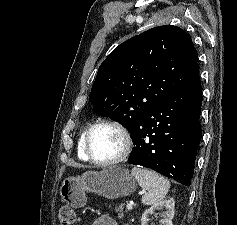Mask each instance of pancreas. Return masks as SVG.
Segmentation results:
<instances>
[{
    "label": "pancreas",
    "instance_id": "1",
    "mask_svg": "<svg viewBox=\"0 0 237 225\" xmlns=\"http://www.w3.org/2000/svg\"><path fill=\"white\" fill-rule=\"evenodd\" d=\"M123 210H124V205L123 204H119L118 206L115 207V211L118 213V216L120 218H122L124 216Z\"/></svg>",
    "mask_w": 237,
    "mask_h": 225
}]
</instances>
